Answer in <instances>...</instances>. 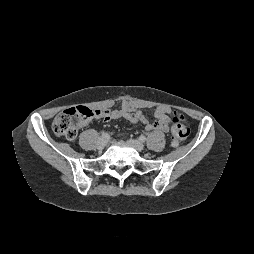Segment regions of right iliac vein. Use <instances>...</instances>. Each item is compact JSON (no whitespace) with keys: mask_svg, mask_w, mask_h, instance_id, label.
<instances>
[{"mask_svg":"<svg viewBox=\"0 0 254 254\" xmlns=\"http://www.w3.org/2000/svg\"><path fill=\"white\" fill-rule=\"evenodd\" d=\"M106 144H107V140L104 138H101L98 141L97 147H98V149H103L106 146Z\"/></svg>","mask_w":254,"mask_h":254,"instance_id":"obj_1","label":"right iliac vein"}]
</instances>
